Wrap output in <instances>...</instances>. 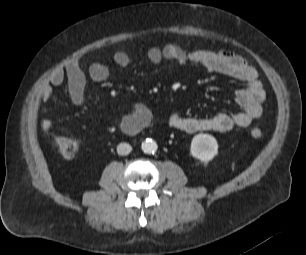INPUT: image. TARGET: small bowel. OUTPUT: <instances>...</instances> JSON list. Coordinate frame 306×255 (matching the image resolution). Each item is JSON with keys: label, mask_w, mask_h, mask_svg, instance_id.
I'll list each match as a JSON object with an SVG mask.
<instances>
[{"label": "small bowel", "mask_w": 306, "mask_h": 255, "mask_svg": "<svg viewBox=\"0 0 306 255\" xmlns=\"http://www.w3.org/2000/svg\"><path fill=\"white\" fill-rule=\"evenodd\" d=\"M146 56L153 64H159L163 60L175 62L184 66L194 64L205 70L223 74L235 80L243 82L246 86L236 93V102L242 108L234 114L220 113L212 117L196 118L184 117L178 113L168 116V124L172 128L194 133L199 131L226 132L234 127H247L262 115V103L265 98L263 86L258 79L257 71L249 65L241 56L223 49H196L187 51L177 43H167L164 47H150ZM114 63L121 67H127L130 63L129 55L122 50L113 53ZM88 75L94 82H103L111 75L108 66L100 62H92L88 66ZM66 85L71 102L79 106L84 101L86 87V75L83 70V61L75 58L62 69L52 74L50 81L41 91V99L47 102L53 88ZM151 119V112L144 104H137L131 114L121 120V128L129 133L135 132ZM45 132H51L53 124L49 119L41 122Z\"/></svg>", "instance_id": "1"}]
</instances>
